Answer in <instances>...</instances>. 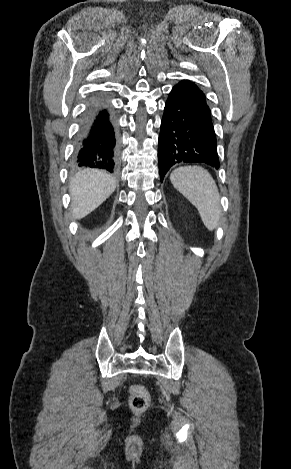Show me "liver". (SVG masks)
<instances>
[{
    "mask_svg": "<svg viewBox=\"0 0 291 469\" xmlns=\"http://www.w3.org/2000/svg\"><path fill=\"white\" fill-rule=\"evenodd\" d=\"M115 179L98 170H85L70 183L72 215L81 219L100 206L115 190Z\"/></svg>",
    "mask_w": 291,
    "mask_h": 469,
    "instance_id": "liver-1",
    "label": "liver"
}]
</instances>
